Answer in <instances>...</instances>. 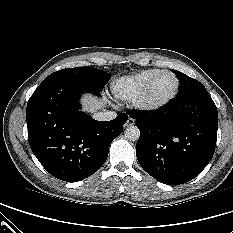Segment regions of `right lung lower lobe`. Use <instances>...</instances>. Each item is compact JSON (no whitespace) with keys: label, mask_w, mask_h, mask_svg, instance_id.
Returning <instances> with one entry per match:
<instances>
[{"label":"right lung lower lobe","mask_w":233,"mask_h":233,"mask_svg":"<svg viewBox=\"0 0 233 233\" xmlns=\"http://www.w3.org/2000/svg\"><path fill=\"white\" fill-rule=\"evenodd\" d=\"M86 84L63 80L35 92L27 103L29 145L47 172L68 182L83 180L106 161L111 142L123 131L128 115L101 122L80 111Z\"/></svg>","instance_id":"98d812e1"}]
</instances>
